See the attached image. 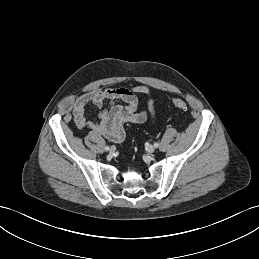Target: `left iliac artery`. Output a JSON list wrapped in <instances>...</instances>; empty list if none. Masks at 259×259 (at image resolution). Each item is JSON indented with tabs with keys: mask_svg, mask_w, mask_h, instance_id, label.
Wrapping results in <instances>:
<instances>
[{
	"mask_svg": "<svg viewBox=\"0 0 259 259\" xmlns=\"http://www.w3.org/2000/svg\"><path fill=\"white\" fill-rule=\"evenodd\" d=\"M154 146H155V147H158V146H159V144L156 142V143H154Z\"/></svg>",
	"mask_w": 259,
	"mask_h": 259,
	"instance_id": "left-iliac-artery-1",
	"label": "left iliac artery"
}]
</instances>
